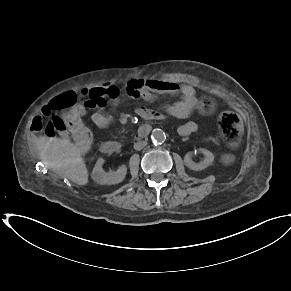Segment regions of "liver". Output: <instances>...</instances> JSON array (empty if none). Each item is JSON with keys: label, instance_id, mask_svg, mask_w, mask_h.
Listing matches in <instances>:
<instances>
[{"label": "liver", "instance_id": "obj_1", "mask_svg": "<svg viewBox=\"0 0 291 291\" xmlns=\"http://www.w3.org/2000/svg\"><path fill=\"white\" fill-rule=\"evenodd\" d=\"M29 147L32 154L55 173L78 185L88 183V170L81 149L69 139L32 136Z\"/></svg>", "mask_w": 291, "mask_h": 291}]
</instances>
